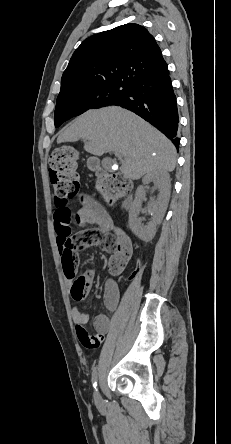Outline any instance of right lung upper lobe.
<instances>
[{
	"label": "right lung upper lobe",
	"instance_id": "cb5924a9",
	"mask_svg": "<svg viewBox=\"0 0 231 444\" xmlns=\"http://www.w3.org/2000/svg\"><path fill=\"white\" fill-rule=\"evenodd\" d=\"M166 68L161 50L147 29L125 24L81 43L63 73L60 93L111 83L131 85Z\"/></svg>",
	"mask_w": 231,
	"mask_h": 444
}]
</instances>
